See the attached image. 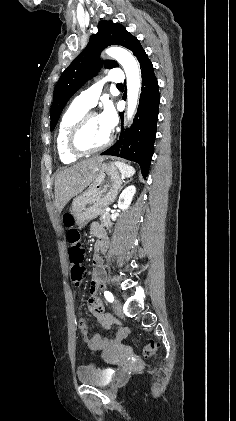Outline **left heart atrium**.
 <instances>
[{"label": "left heart atrium", "instance_id": "1", "mask_svg": "<svg viewBox=\"0 0 236 421\" xmlns=\"http://www.w3.org/2000/svg\"><path fill=\"white\" fill-rule=\"evenodd\" d=\"M99 116L107 131H113L117 123V116L112 106H107Z\"/></svg>", "mask_w": 236, "mask_h": 421}]
</instances>
